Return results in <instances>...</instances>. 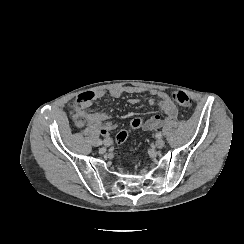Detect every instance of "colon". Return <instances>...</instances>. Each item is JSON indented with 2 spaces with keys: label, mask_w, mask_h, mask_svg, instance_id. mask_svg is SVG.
Returning <instances> with one entry per match:
<instances>
[{
  "label": "colon",
  "mask_w": 244,
  "mask_h": 244,
  "mask_svg": "<svg viewBox=\"0 0 244 244\" xmlns=\"http://www.w3.org/2000/svg\"><path fill=\"white\" fill-rule=\"evenodd\" d=\"M171 98H172L173 102L179 107L187 108V107H190L192 104V100L189 97V95L183 91H174L171 94ZM80 120H82L81 115H79L77 117V121H80ZM144 121H145L144 118H138L135 121H133L132 124L129 125V128L133 129L134 127H140L141 125H143ZM126 135H127V131L121 130L120 133H118L116 135V141L119 144L124 143L127 139Z\"/></svg>",
  "instance_id": "colon-1"
}]
</instances>
